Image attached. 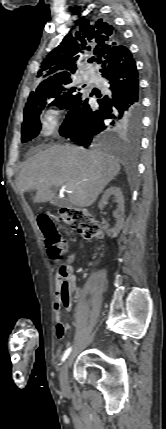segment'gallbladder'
I'll use <instances>...</instances> for the list:
<instances>
[{
	"instance_id": "bac80fb5",
	"label": "gallbladder",
	"mask_w": 166,
	"mask_h": 429,
	"mask_svg": "<svg viewBox=\"0 0 166 429\" xmlns=\"http://www.w3.org/2000/svg\"><path fill=\"white\" fill-rule=\"evenodd\" d=\"M51 203L58 207H68L70 202L66 198L55 197L52 199Z\"/></svg>"
}]
</instances>
